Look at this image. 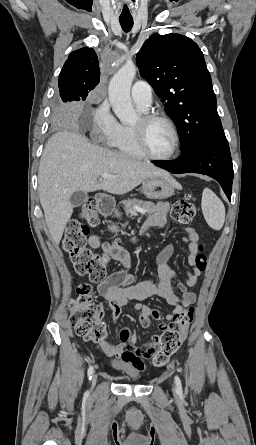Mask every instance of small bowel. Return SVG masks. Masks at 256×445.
<instances>
[{
  "label": "small bowel",
  "instance_id": "obj_1",
  "mask_svg": "<svg viewBox=\"0 0 256 445\" xmlns=\"http://www.w3.org/2000/svg\"><path fill=\"white\" fill-rule=\"evenodd\" d=\"M169 204L160 201L156 204L154 212L149 216L143 225V230L153 227H162L167 223V213ZM115 226H109V230L114 231ZM185 236L182 241L189 247L188 263L194 265L199 254V237L191 227L184 228ZM88 244L93 249H100L108 254L112 259L120 262L127 270H119L110 273L98 284V292L106 298L107 305L102 307V318L107 311L111 313L112 321L116 323L122 313V309L129 303L134 302L133 309L138 313L140 324L143 327H150L152 320L159 321L162 331L175 327V317L196 300V294L189 288L196 287L201 270L194 268L187 271L183 281H177L175 272L168 265V260L174 252L172 243H168L158 254L157 264L159 268L158 279H148L134 283V276L128 271L132 267L129 255L121 247L103 242L99 235L89 237ZM179 290V293L176 292ZM157 296L165 299L174 306L172 312L162 316L158 310L142 305L139 301L149 297ZM188 328L184 330L186 336ZM161 335H153L149 341L141 347H133L126 344L104 343L101 348L107 356H116L120 359L114 362V366H125L134 371H143L145 364L143 358L152 354L160 342Z\"/></svg>",
  "mask_w": 256,
  "mask_h": 445
}]
</instances>
